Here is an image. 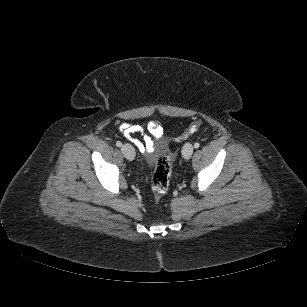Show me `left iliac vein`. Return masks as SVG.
Returning a JSON list of instances; mask_svg holds the SVG:
<instances>
[{"mask_svg": "<svg viewBox=\"0 0 307 307\" xmlns=\"http://www.w3.org/2000/svg\"><path fill=\"white\" fill-rule=\"evenodd\" d=\"M193 145L191 143H186L184 146H183V149H182V155H183V158L188 160L191 158L192 154H193Z\"/></svg>", "mask_w": 307, "mask_h": 307, "instance_id": "left-iliac-vein-1", "label": "left iliac vein"}]
</instances>
